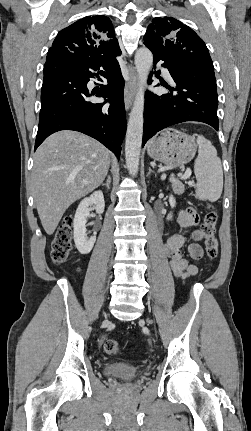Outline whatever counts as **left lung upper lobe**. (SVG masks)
<instances>
[{
	"instance_id": "5c2ea615",
	"label": "left lung upper lobe",
	"mask_w": 251,
	"mask_h": 431,
	"mask_svg": "<svg viewBox=\"0 0 251 431\" xmlns=\"http://www.w3.org/2000/svg\"><path fill=\"white\" fill-rule=\"evenodd\" d=\"M144 44L183 65L214 70L203 40L188 26L171 17H156L144 35Z\"/></svg>"
}]
</instances>
